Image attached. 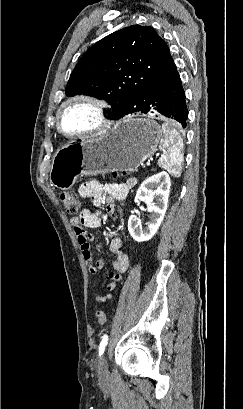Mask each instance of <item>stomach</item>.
<instances>
[{"instance_id": "stomach-1", "label": "stomach", "mask_w": 243, "mask_h": 409, "mask_svg": "<svg viewBox=\"0 0 243 409\" xmlns=\"http://www.w3.org/2000/svg\"><path fill=\"white\" fill-rule=\"evenodd\" d=\"M161 138L162 129L153 119L126 117L105 133L71 141L58 149L50 182L68 190L80 175L134 171L155 152Z\"/></svg>"}]
</instances>
